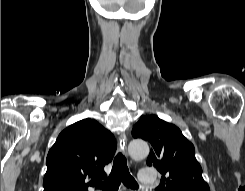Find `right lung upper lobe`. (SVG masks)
Listing matches in <instances>:
<instances>
[{"label": "right lung upper lobe", "instance_id": "cb5924a9", "mask_svg": "<svg viewBox=\"0 0 245 191\" xmlns=\"http://www.w3.org/2000/svg\"><path fill=\"white\" fill-rule=\"evenodd\" d=\"M116 147L111 132L93 119L70 125L47 155L44 191H87L90 184H99Z\"/></svg>", "mask_w": 245, "mask_h": 191}]
</instances>
